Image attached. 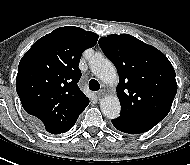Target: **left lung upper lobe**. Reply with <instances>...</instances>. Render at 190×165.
<instances>
[{"label":"left lung upper lobe","instance_id":"1","mask_svg":"<svg viewBox=\"0 0 190 165\" xmlns=\"http://www.w3.org/2000/svg\"><path fill=\"white\" fill-rule=\"evenodd\" d=\"M99 45L119 74L120 117L154 123L164 119L177 92L167 57L129 34L102 37Z\"/></svg>","mask_w":190,"mask_h":165}]
</instances>
